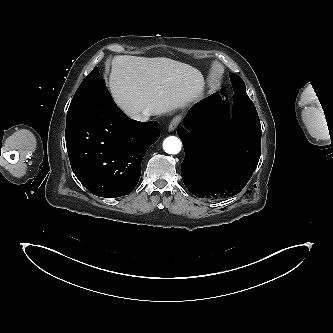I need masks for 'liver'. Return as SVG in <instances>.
Here are the masks:
<instances>
[{
	"label": "liver",
	"mask_w": 333,
	"mask_h": 333,
	"mask_svg": "<svg viewBox=\"0 0 333 333\" xmlns=\"http://www.w3.org/2000/svg\"><path fill=\"white\" fill-rule=\"evenodd\" d=\"M109 88L117 105L130 117L147 110L162 115L201 97V72L173 59L115 56Z\"/></svg>",
	"instance_id": "1"
}]
</instances>
